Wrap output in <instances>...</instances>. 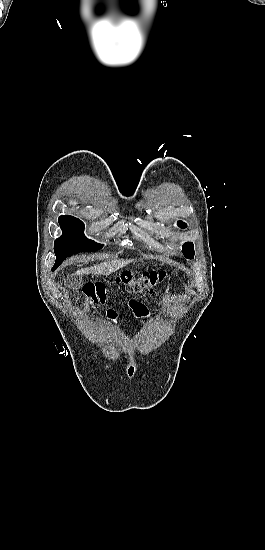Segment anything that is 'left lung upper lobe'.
I'll return each mask as SVG.
<instances>
[{
	"mask_svg": "<svg viewBox=\"0 0 265 550\" xmlns=\"http://www.w3.org/2000/svg\"><path fill=\"white\" fill-rule=\"evenodd\" d=\"M178 226L181 227V228H186L187 225L182 222V221H178ZM183 253H184V256L186 258H189V259H193L194 258V247H193V243L191 242H187L183 245Z\"/></svg>",
	"mask_w": 265,
	"mask_h": 550,
	"instance_id": "obj_1",
	"label": "left lung upper lobe"
}]
</instances>
